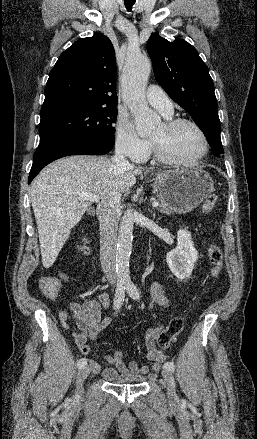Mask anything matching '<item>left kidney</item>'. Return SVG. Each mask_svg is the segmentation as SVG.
<instances>
[{
    "label": "left kidney",
    "mask_w": 257,
    "mask_h": 439,
    "mask_svg": "<svg viewBox=\"0 0 257 439\" xmlns=\"http://www.w3.org/2000/svg\"><path fill=\"white\" fill-rule=\"evenodd\" d=\"M177 247L167 253L166 261L172 273L180 280L190 277L198 252L194 247L192 237L186 229L177 232Z\"/></svg>",
    "instance_id": "1"
}]
</instances>
